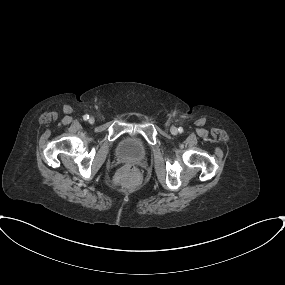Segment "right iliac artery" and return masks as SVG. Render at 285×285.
<instances>
[{
    "label": "right iliac artery",
    "mask_w": 285,
    "mask_h": 285,
    "mask_svg": "<svg viewBox=\"0 0 285 285\" xmlns=\"http://www.w3.org/2000/svg\"><path fill=\"white\" fill-rule=\"evenodd\" d=\"M83 119L86 121V120H88L89 119V115L88 114H85L84 116H83Z\"/></svg>",
    "instance_id": "82829eb1"
}]
</instances>
